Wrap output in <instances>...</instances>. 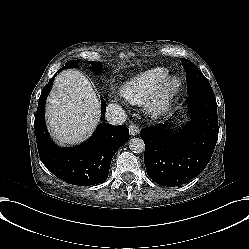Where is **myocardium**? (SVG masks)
I'll return each instance as SVG.
<instances>
[{
    "label": "myocardium",
    "instance_id": "myocardium-1",
    "mask_svg": "<svg viewBox=\"0 0 249 249\" xmlns=\"http://www.w3.org/2000/svg\"><path fill=\"white\" fill-rule=\"evenodd\" d=\"M180 88V78L175 75L168 76L158 92L145 104L146 115L154 120L164 117L170 110L172 101L179 93Z\"/></svg>",
    "mask_w": 249,
    "mask_h": 249
}]
</instances>
